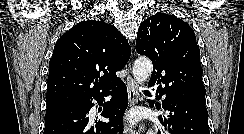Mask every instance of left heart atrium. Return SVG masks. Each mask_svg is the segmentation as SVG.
<instances>
[{
	"label": "left heart atrium",
	"instance_id": "left-heart-atrium-1",
	"mask_svg": "<svg viewBox=\"0 0 244 134\" xmlns=\"http://www.w3.org/2000/svg\"><path fill=\"white\" fill-rule=\"evenodd\" d=\"M128 119H129V122H131V123H135V122H137V121L139 120V114L133 112V113H131V114L129 115Z\"/></svg>",
	"mask_w": 244,
	"mask_h": 134
}]
</instances>
